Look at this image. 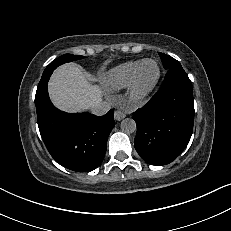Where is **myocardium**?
<instances>
[{"instance_id":"f54148a6","label":"myocardium","mask_w":231,"mask_h":231,"mask_svg":"<svg viewBox=\"0 0 231 231\" xmlns=\"http://www.w3.org/2000/svg\"><path fill=\"white\" fill-rule=\"evenodd\" d=\"M148 62H152L157 67V75L153 82L145 89L140 90L137 86V77L142 66ZM161 78V68L158 62L154 59H144L134 70L131 79L128 84L127 94L130 102L134 105H143L147 102L152 92L155 90Z\"/></svg>"}]
</instances>
